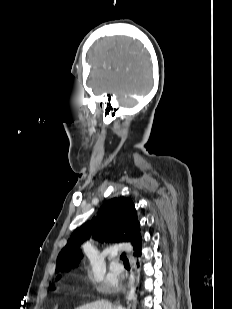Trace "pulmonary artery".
I'll return each mask as SVG.
<instances>
[{"instance_id": "e3ab8cb5", "label": "pulmonary artery", "mask_w": 232, "mask_h": 309, "mask_svg": "<svg viewBox=\"0 0 232 309\" xmlns=\"http://www.w3.org/2000/svg\"><path fill=\"white\" fill-rule=\"evenodd\" d=\"M109 268L111 270V272L115 273V274H120L123 272L124 268L121 264L113 261L110 263Z\"/></svg>"}]
</instances>
